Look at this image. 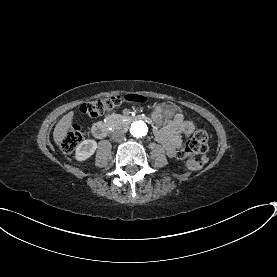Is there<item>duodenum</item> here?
<instances>
[{
	"mask_svg": "<svg viewBox=\"0 0 277 277\" xmlns=\"http://www.w3.org/2000/svg\"><path fill=\"white\" fill-rule=\"evenodd\" d=\"M130 120L131 119L127 117L118 123L98 122L93 126V129H92L93 135L97 138H103L114 127H120V128L126 127Z\"/></svg>",
	"mask_w": 277,
	"mask_h": 277,
	"instance_id": "duodenum-1",
	"label": "duodenum"
}]
</instances>
